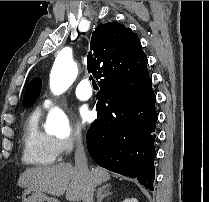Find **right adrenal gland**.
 <instances>
[{
	"label": "right adrenal gland",
	"mask_w": 209,
	"mask_h": 202,
	"mask_svg": "<svg viewBox=\"0 0 209 202\" xmlns=\"http://www.w3.org/2000/svg\"><path fill=\"white\" fill-rule=\"evenodd\" d=\"M112 192L109 191L108 186H103L97 190V202H102L105 197L111 195Z\"/></svg>",
	"instance_id": "obj_1"
}]
</instances>
